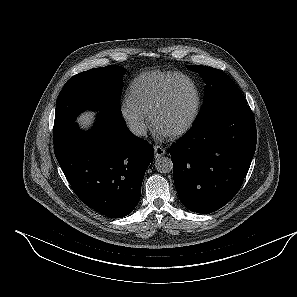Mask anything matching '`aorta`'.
<instances>
[{
    "label": "aorta",
    "mask_w": 297,
    "mask_h": 297,
    "mask_svg": "<svg viewBox=\"0 0 297 297\" xmlns=\"http://www.w3.org/2000/svg\"><path fill=\"white\" fill-rule=\"evenodd\" d=\"M155 168L160 173H169L173 169V163L170 158L160 156L155 161Z\"/></svg>",
    "instance_id": "obj_1"
}]
</instances>
